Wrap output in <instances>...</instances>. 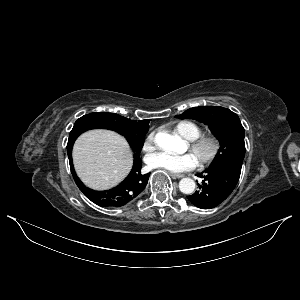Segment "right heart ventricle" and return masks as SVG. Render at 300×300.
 <instances>
[{"instance_id": "1", "label": "right heart ventricle", "mask_w": 300, "mask_h": 300, "mask_svg": "<svg viewBox=\"0 0 300 300\" xmlns=\"http://www.w3.org/2000/svg\"><path fill=\"white\" fill-rule=\"evenodd\" d=\"M174 130L188 140H192L202 134V129L191 121H180L176 123Z\"/></svg>"}]
</instances>
